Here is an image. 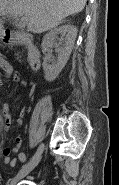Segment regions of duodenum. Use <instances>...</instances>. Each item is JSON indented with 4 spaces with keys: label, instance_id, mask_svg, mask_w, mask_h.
<instances>
[{
    "label": "duodenum",
    "instance_id": "1",
    "mask_svg": "<svg viewBox=\"0 0 119 185\" xmlns=\"http://www.w3.org/2000/svg\"><path fill=\"white\" fill-rule=\"evenodd\" d=\"M4 40L8 44L25 45L28 49V63L32 71H37L41 66V54L33 37L26 33H20L14 30H6Z\"/></svg>",
    "mask_w": 119,
    "mask_h": 185
}]
</instances>
